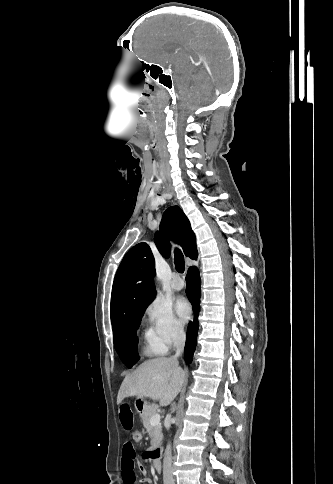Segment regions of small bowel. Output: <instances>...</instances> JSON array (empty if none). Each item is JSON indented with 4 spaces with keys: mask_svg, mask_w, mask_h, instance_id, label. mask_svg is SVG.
<instances>
[{
    "mask_svg": "<svg viewBox=\"0 0 333 484\" xmlns=\"http://www.w3.org/2000/svg\"><path fill=\"white\" fill-rule=\"evenodd\" d=\"M118 419L122 429L131 433L134 432V414L127 402H122L118 408ZM135 460L136 454L133 444L130 441L125 442L123 445L122 459H121V470H122V480L123 484H135ZM139 471L146 475L145 467L138 463ZM141 482L149 484L150 480L144 478Z\"/></svg>",
    "mask_w": 333,
    "mask_h": 484,
    "instance_id": "small-bowel-1",
    "label": "small bowel"
}]
</instances>
